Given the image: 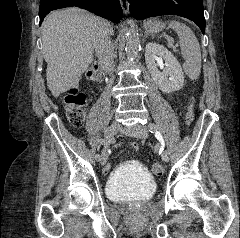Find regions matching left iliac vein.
<instances>
[{
    "label": "left iliac vein",
    "instance_id": "left-iliac-vein-1",
    "mask_svg": "<svg viewBox=\"0 0 240 238\" xmlns=\"http://www.w3.org/2000/svg\"><path fill=\"white\" fill-rule=\"evenodd\" d=\"M122 132L126 135L133 136L140 139H145L148 136V130L145 126L141 124H135L126 128L122 129ZM161 158L164 162L169 161V156L167 155H161Z\"/></svg>",
    "mask_w": 240,
    "mask_h": 238
}]
</instances>
